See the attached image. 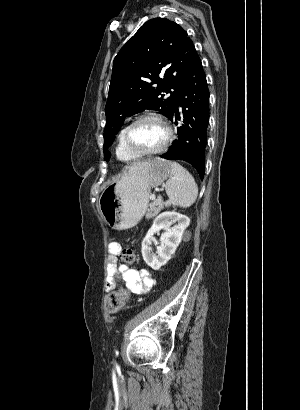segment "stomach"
I'll return each instance as SVG.
<instances>
[{"mask_svg": "<svg viewBox=\"0 0 300 410\" xmlns=\"http://www.w3.org/2000/svg\"><path fill=\"white\" fill-rule=\"evenodd\" d=\"M171 162L156 158L129 168L99 198V209L107 224L116 230L134 227L145 214L150 190L171 176Z\"/></svg>", "mask_w": 300, "mask_h": 410, "instance_id": "stomach-1", "label": "stomach"}]
</instances>
